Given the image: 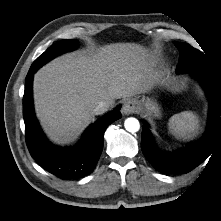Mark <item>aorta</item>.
Returning <instances> with one entry per match:
<instances>
[{
	"label": "aorta",
	"instance_id": "1",
	"mask_svg": "<svg viewBox=\"0 0 221 221\" xmlns=\"http://www.w3.org/2000/svg\"><path fill=\"white\" fill-rule=\"evenodd\" d=\"M124 126L125 129L131 133L137 132L140 129L139 121L133 117L127 118L124 122Z\"/></svg>",
	"mask_w": 221,
	"mask_h": 221
}]
</instances>
